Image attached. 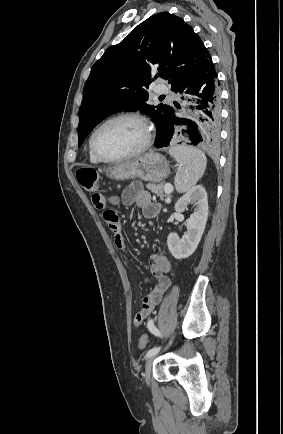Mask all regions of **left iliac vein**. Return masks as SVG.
<instances>
[{"label": "left iliac vein", "instance_id": "obj_1", "mask_svg": "<svg viewBox=\"0 0 283 434\" xmlns=\"http://www.w3.org/2000/svg\"><path fill=\"white\" fill-rule=\"evenodd\" d=\"M174 336H172L169 345H171L172 341H173ZM155 355L151 356L148 358L146 365H145V372H144V377H145V381L147 384H149L150 382V375H151V371H152V364L154 361Z\"/></svg>", "mask_w": 283, "mask_h": 434}]
</instances>
